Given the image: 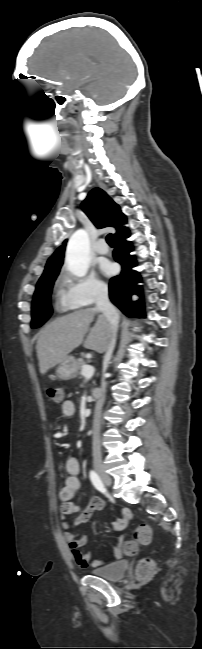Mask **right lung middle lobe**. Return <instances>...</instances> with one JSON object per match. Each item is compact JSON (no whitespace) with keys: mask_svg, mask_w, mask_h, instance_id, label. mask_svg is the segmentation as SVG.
<instances>
[{"mask_svg":"<svg viewBox=\"0 0 202 649\" xmlns=\"http://www.w3.org/2000/svg\"><path fill=\"white\" fill-rule=\"evenodd\" d=\"M57 275L58 272L42 276L36 285L32 301V328L42 326L52 315L50 296Z\"/></svg>","mask_w":202,"mask_h":649,"instance_id":"obj_1","label":"right lung middle lobe"}]
</instances>
